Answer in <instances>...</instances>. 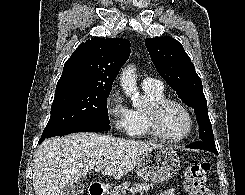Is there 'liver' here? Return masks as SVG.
Here are the masks:
<instances>
[{
    "label": "liver",
    "mask_w": 245,
    "mask_h": 195,
    "mask_svg": "<svg viewBox=\"0 0 245 195\" xmlns=\"http://www.w3.org/2000/svg\"><path fill=\"white\" fill-rule=\"evenodd\" d=\"M159 144L113 138L96 133H75L45 140L38 146L33 168L35 195H64V187L85 178L103 165L102 173L120 179L140 157Z\"/></svg>",
    "instance_id": "1"
}]
</instances>
